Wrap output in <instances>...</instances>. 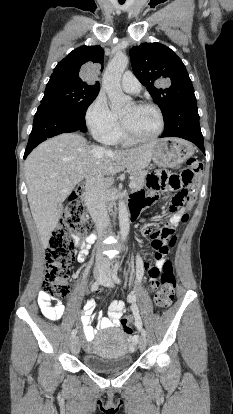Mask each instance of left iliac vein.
Masks as SVG:
<instances>
[{"label": "left iliac vein", "instance_id": "4c4485c4", "mask_svg": "<svg viewBox=\"0 0 233 414\" xmlns=\"http://www.w3.org/2000/svg\"><path fill=\"white\" fill-rule=\"evenodd\" d=\"M102 284L107 287H112L114 285L112 277H111V273L109 270H106V272L104 273ZM138 346L140 350L146 349L147 340L145 336L143 335L140 336L139 341H138Z\"/></svg>", "mask_w": 233, "mask_h": 414}]
</instances>
